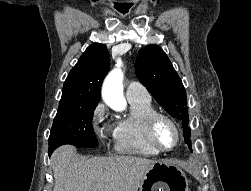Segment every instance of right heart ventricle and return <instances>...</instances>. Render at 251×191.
<instances>
[{
    "label": "right heart ventricle",
    "instance_id": "right-heart-ventricle-1",
    "mask_svg": "<svg viewBox=\"0 0 251 191\" xmlns=\"http://www.w3.org/2000/svg\"><path fill=\"white\" fill-rule=\"evenodd\" d=\"M132 114L117 123L114 130L115 150L120 154L155 157L158 154L149 146L144 135L146 117L155 111L151 99L129 100Z\"/></svg>",
    "mask_w": 251,
    "mask_h": 191
}]
</instances>
